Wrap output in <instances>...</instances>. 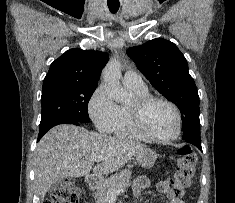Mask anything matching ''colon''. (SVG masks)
<instances>
[{"label": "colon", "instance_id": "colon-1", "mask_svg": "<svg viewBox=\"0 0 235 203\" xmlns=\"http://www.w3.org/2000/svg\"><path fill=\"white\" fill-rule=\"evenodd\" d=\"M197 155L190 147L178 150L177 168L171 178L159 184V190L171 199H180L196 176ZM80 191L71 179L63 182L44 203H79Z\"/></svg>", "mask_w": 235, "mask_h": 203}]
</instances>
